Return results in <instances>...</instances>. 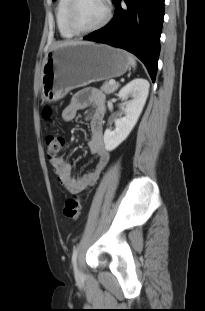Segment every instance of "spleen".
I'll use <instances>...</instances> for the list:
<instances>
[{
  "instance_id": "1",
  "label": "spleen",
  "mask_w": 205,
  "mask_h": 311,
  "mask_svg": "<svg viewBox=\"0 0 205 311\" xmlns=\"http://www.w3.org/2000/svg\"><path fill=\"white\" fill-rule=\"evenodd\" d=\"M128 61H129V64H130L132 67H135V66H136V60H135V58H134L132 55H128Z\"/></svg>"
}]
</instances>
